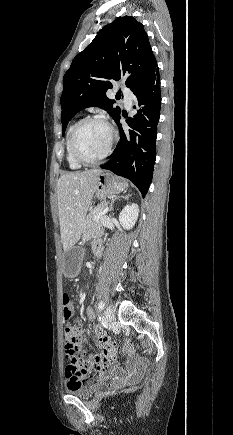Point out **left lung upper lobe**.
Masks as SVG:
<instances>
[{
    "label": "left lung upper lobe",
    "mask_w": 233,
    "mask_h": 435,
    "mask_svg": "<svg viewBox=\"0 0 233 435\" xmlns=\"http://www.w3.org/2000/svg\"><path fill=\"white\" fill-rule=\"evenodd\" d=\"M156 64L143 24L134 17H117L104 26L64 75L61 122L86 107H101L115 120L121 109L106 96L112 81L124 79L132 91Z\"/></svg>",
    "instance_id": "left-lung-upper-lobe-1"
}]
</instances>
